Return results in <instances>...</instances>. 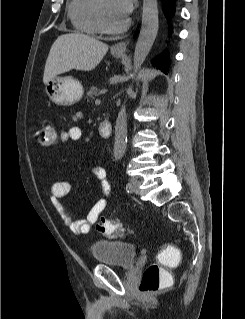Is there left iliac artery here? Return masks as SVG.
I'll list each match as a JSON object with an SVG mask.
<instances>
[{
	"instance_id": "obj_1",
	"label": "left iliac artery",
	"mask_w": 245,
	"mask_h": 319,
	"mask_svg": "<svg viewBox=\"0 0 245 319\" xmlns=\"http://www.w3.org/2000/svg\"><path fill=\"white\" fill-rule=\"evenodd\" d=\"M126 190L129 192L131 190V184L130 183H127L126 184Z\"/></svg>"
}]
</instances>
